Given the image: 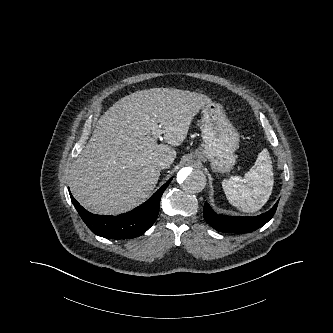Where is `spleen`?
Listing matches in <instances>:
<instances>
[{
    "label": "spleen",
    "instance_id": "1",
    "mask_svg": "<svg viewBox=\"0 0 333 333\" xmlns=\"http://www.w3.org/2000/svg\"><path fill=\"white\" fill-rule=\"evenodd\" d=\"M274 184L270 154L263 149L243 178L224 179L222 188L229 203L247 213L260 210L268 201Z\"/></svg>",
    "mask_w": 333,
    "mask_h": 333
}]
</instances>
